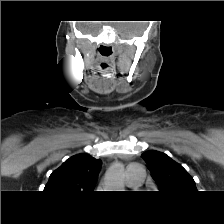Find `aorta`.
<instances>
[{
	"label": "aorta",
	"instance_id": "obj_1",
	"mask_svg": "<svg viewBox=\"0 0 224 224\" xmlns=\"http://www.w3.org/2000/svg\"><path fill=\"white\" fill-rule=\"evenodd\" d=\"M124 170L120 163H114L108 170L106 175L107 191H121L124 187Z\"/></svg>",
	"mask_w": 224,
	"mask_h": 224
}]
</instances>
